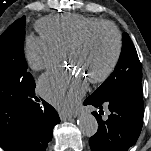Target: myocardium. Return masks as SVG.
Listing matches in <instances>:
<instances>
[{"label":"myocardium","mask_w":151,"mask_h":151,"mask_svg":"<svg viewBox=\"0 0 151 151\" xmlns=\"http://www.w3.org/2000/svg\"><path fill=\"white\" fill-rule=\"evenodd\" d=\"M100 29H108L111 31L114 37L115 48H114L113 57L109 65L106 67V69L102 73L90 79V82L92 83H100V82L105 81L113 73V71L115 70L119 62L121 51H122V39H121V34L119 30L117 29V27L113 23L107 22V21L96 23L88 27L79 37H77L71 43H69L64 50V57L65 59H68L69 55L72 52L84 46L86 42L88 41L89 37L94 32Z\"/></svg>","instance_id":"myocardium-1"}]
</instances>
